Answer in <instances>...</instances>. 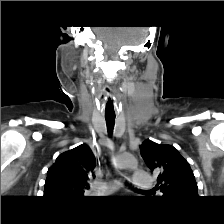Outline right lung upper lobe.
<instances>
[{
	"mask_svg": "<svg viewBox=\"0 0 224 224\" xmlns=\"http://www.w3.org/2000/svg\"><path fill=\"white\" fill-rule=\"evenodd\" d=\"M96 166L89 146L82 144L60 154L48 169L45 197H81L89 188L88 179Z\"/></svg>",
	"mask_w": 224,
	"mask_h": 224,
	"instance_id": "1",
	"label": "right lung upper lobe"
}]
</instances>
